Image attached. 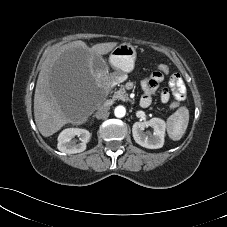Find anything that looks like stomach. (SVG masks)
<instances>
[{"label":"stomach","mask_w":227,"mask_h":227,"mask_svg":"<svg viewBox=\"0 0 227 227\" xmlns=\"http://www.w3.org/2000/svg\"><path fill=\"white\" fill-rule=\"evenodd\" d=\"M135 59V48L129 43H122L111 52L109 61L120 75H122L133 70Z\"/></svg>","instance_id":"1"}]
</instances>
